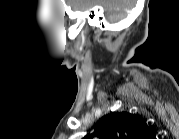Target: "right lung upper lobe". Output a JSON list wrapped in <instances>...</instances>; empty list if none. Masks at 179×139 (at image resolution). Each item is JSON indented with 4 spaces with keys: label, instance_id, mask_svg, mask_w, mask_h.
I'll return each mask as SVG.
<instances>
[{
    "label": "right lung upper lobe",
    "instance_id": "cb5924a9",
    "mask_svg": "<svg viewBox=\"0 0 179 139\" xmlns=\"http://www.w3.org/2000/svg\"><path fill=\"white\" fill-rule=\"evenodd\" d=\"M94 136L101 139H148L152 133L143 119L128 112H121L103 116L94 133L86 137L92 139Z\"/></svg>",
    "mask_w": 179,
    "mask_h": 139
}]
</instances>
